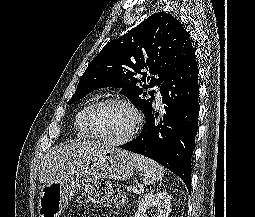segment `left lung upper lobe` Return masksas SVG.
<instances>
[{
    "instance_id": "1",
    "label": "left lung upper lobe",
    "mask_w": 255,
    "mask_h": 217,
    "mask_svg": "<svg viewBox=\"0 0 255 217\" xmlns=\"http://www.w3.org/2000/svg\"><path fill=\"white\" fill-rule=\"evenodd\" d=\"M191 48L189 33L176 18L155 13L101 50L80 78L68 104L96 89L117 87L146 116L152 108L154 91L146 93L144 89L160 85ZM138 74L143 77L137 79Z\"/></svg>"
}]
</instances>
